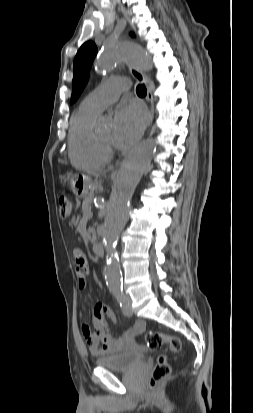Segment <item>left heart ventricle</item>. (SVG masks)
I'll return each instance as SVG.
<instances>
[{
	"label": "left heart ventricle",
	"mask_w": 253,
	"mask_h": 413,
	"mask_svg": "<svg viewBox=\"0 0 253 413\" xmlns=\"http://www.w3.org/2000/svg\"><path fill=\"white\" fill-rule=\"evenodd\" d=\"M98 136L106 141V142H110L112 140V131L110 129H107L101 133L98 134Z\"/></svg>",
	"instance_id": "b2bd125f"
}]
</instances>
